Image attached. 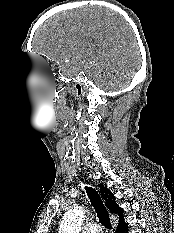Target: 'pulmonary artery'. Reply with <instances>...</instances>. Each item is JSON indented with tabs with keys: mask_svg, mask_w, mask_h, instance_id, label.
Masks as SVG:
<instances>
[{
	"mask_svg": "<svg viewBox=\"0 0 174 233\" xmlns=\"http://www.w3.org/2000/svg\"><path fill=\"white\" fill-rule=\"evenodd\" d=\"M82 233H102V230L97 223L91 222L83 227Z\"/></svg>",
	"mask_w": 174,
	"mask_h": 233,
	"instance_id": "obj_1",
	"label": "pulmonary artery"
}]
</instances>
